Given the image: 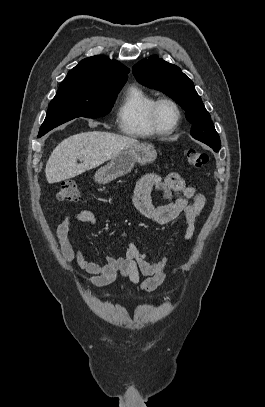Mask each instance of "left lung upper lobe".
<instances>
[{
  "mask_svg": "<svg viewBox=\"0 0 265 407\" xmlns=\"http://www.w3.org/2000/svg\"><path fill=\"white\" fill-rule=\"evenodd\" d=\"M133 74L139 83L162 91L186 111V118L192 123L193 138L220 149L221 141L210 114L197 94L193 82L179 67L154 55L134 65Z\"/></svg>",
  "mask_w": 265,
  "mask_h": 407,
  "instance_id": "1",
  "label": "left lung upper lobe"
}]
</instances>
